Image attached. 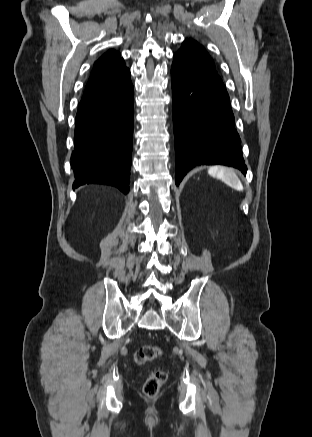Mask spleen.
I'll return each instance as SVG.
<instances>
[{"instance_id":"3e777b00","label":"spleen","mask_w":312,"mask_h":437,"mask_svg":"<svg viewBox=\"0 0 312 437\" xmlns=\"http://www.w3.org/2000/svg\"><path fill=\"white\" fill-rule=\"evenodd\" d=\"M208 173L211 176L222 180L224 183L234 188L235 190H239V191L243 190V186L240 179L235 174V172L230 168H224L221 166H212L209 168Z\"/></svg>"}]
</instances>
